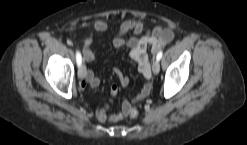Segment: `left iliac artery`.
Returning <instances> with one entry per match:
<instances>
[{"label":"left iliac artery","instance_id":"1","mask_svg":"<svg viewBox=\"0 0 247 145\" xmlns=\"http://www.w3.org/2000/svg\"><path fill=\"white\" fill-rule=\"evenodd\" d=\"M162 55H163L162 51L158 52L156 59L159 61L162 58Z\"/></svg>","mask_w":247,"mask_h":145}]
</instances>
